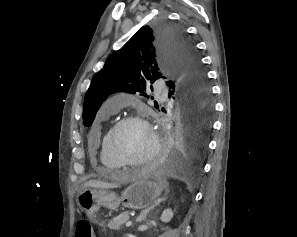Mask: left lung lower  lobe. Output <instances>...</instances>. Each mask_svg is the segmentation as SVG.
Returning <instances> with one entry per match:
<instances>
[{
  "instance_id": "left-lung-lower-lobe-1",
  "label": "left lung lower lobe",
  "mask_w": 297,
  "mask_h": 237,
  "mask_svg": "<svg viewBox=\"0 0 297 237\" xmlns=\"http://www.w3.org/2000/svg\"><path fill=\"white\" fill-rule=\"evenodd\" d=\"M173 94L171 90L169 97L172 99ZM176 105L181 128L169 136L161 160L166 167L185 169L197 165L205 152L213 107L211 102L196 106L187 99L178 101Z\"/></svg>"
}]
</instances>
